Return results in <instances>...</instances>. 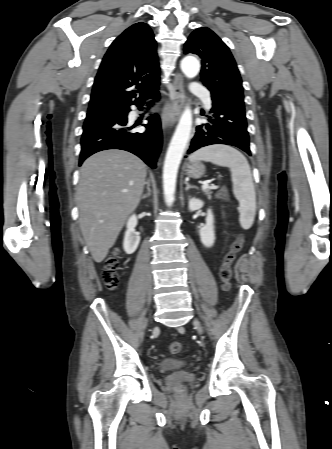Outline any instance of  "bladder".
Listing matches in <instances>:
<instances>
[{"label": "bladder", "mask_w": 332, "mask_h": 449, "mask_svg": "<svg viewBox=\"0 0 332 449\" xmlns=\"http://www.w3.org/2000/svg\"><path fill=\"white\" fill-rule=\"evenodd\" d=\"M194 363L190 360H179L173 358H163L158 362L157 368L160 372H170L182 369H190Z\"/></svg>", "instance_id": "31cf9c89"}]
</instances>
